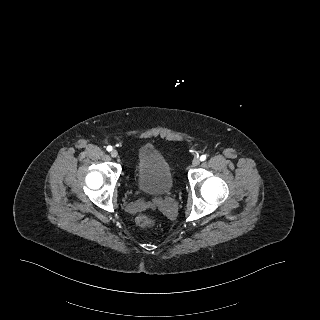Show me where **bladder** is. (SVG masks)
Returning <instances> with one entry per match:
<instances>
[{"label":"bladder","mask_w":320,"mask_h":320,"mask_svg":"<svg viewBox=\"0 0 320 320\" xmlns=\"http://www.w3.org/2000/svg\"><path fill=\"white\" fill-rule=\"evenodd\" d=\"M136 189L149 196H165L174 188V178L166 158L153 147L139 149L135 164Z\"/></svg>","instance_id":"obj_1"}]
</instances>
